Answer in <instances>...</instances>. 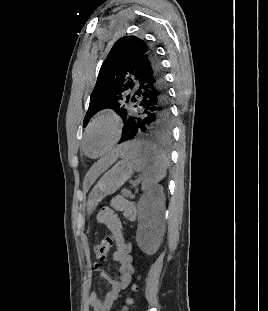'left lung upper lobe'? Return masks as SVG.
I'll return each instance as SVG.
<instances>
[{
  "instance_id": "left-lung-upper-lobe-1",
  "label": "left lung upper lobe",
  "mask_w": 268,
  "mask_h": 311,
  "mask_svg": "<svg viewBox=\"0 0 268 311\" xmlns=\"http://www.w3.org/2000/svg\"><path fill=\"white\" fill-rule=\"evenodd\" d=\"M151 52L148 43L136 36H125L116 41L99 71L84 126L92 116L105 108L113 109L123 123L126 121L131 111V97L139 65Z\"/></svg>"
}]
</instances>
